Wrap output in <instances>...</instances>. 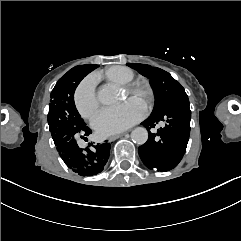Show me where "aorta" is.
<instances>
[{"mask_svg": "<svg viewBox=\"0 0 241 241\" xmlns=\"http://www.w3.org/2000/svg\"><path fill=\"white\" fill-rule=\"evenodd\" d=\"M119 96L117 88L113 85H104L97 93L98 100L105 105L114 104ZM131 139L134 143L143 145L148 140V131L144 127H137L131 132Z\"/></svg>", "mask_w": 241, "mask_h": 241, "instance_id": "obj_1", "label": "aorta"}]
</instances>
